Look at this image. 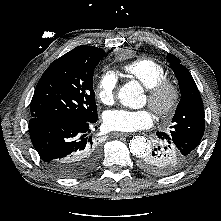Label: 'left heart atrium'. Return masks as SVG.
Returning <instances> with one entry per match:
<instances>
[{"instance_id": "left-heart-atrium-1", "label": "left heart atrium", "mask_w": 221, "mask_h": 221, "mask_svg": "<svg viewBox=\"0 0 221 221\" xmlns=\"http://www.w3.org/2000/svg\"><path fill=\"white\" fill-rule=\"evenodd\" d=\"M103 122L112 131L134 132L151 126L153 115L149 109H113L103 114Z\"/></svg>"}]
</instances>
